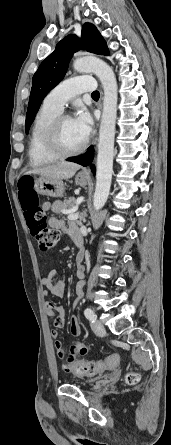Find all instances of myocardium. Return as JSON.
Instances as JSON below:
<instances>
[{"label": "myocardium", "mask_w": 171, "mask_h": 445, "mask_svg": "<svg viewBox=\"0 0 171 445\" xmlns=\"http://www.w3.org/2000/svg\"><path fill=\"white\" fill-rule=\"evenodd\" d=\"M67 119H72L70 115L67 114H59L56 116L48 125L46 133H45V148L46 150L58 157H70L77 155L85 150L88 145V138L84 140V142L74 149H66L62 146L60 140V129L63 122Z\"/></svg>", "instance_id": "1"}]
</instances>
